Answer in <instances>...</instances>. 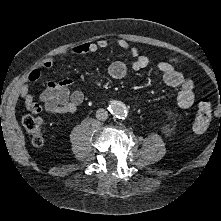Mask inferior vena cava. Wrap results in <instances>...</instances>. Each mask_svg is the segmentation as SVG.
<instances>
[{
	"label": "inferior vena cava",
	"mask_w": 221,
	"mask_h": 221,
	"mask_svg": "<svg viewBox=\"0 0 221 221\" xmlns=\"http://www.w3.org/2000/svg\"><path fill=\"white\" fill-rule=\"evenodd\" d=\"M107 117H108V112L105 109L100 108L96 111V118L98 120L104 121L107 119Z\"/></svg>",
	"instance_id": "1"
}]
</instances>
